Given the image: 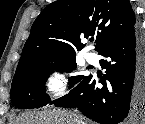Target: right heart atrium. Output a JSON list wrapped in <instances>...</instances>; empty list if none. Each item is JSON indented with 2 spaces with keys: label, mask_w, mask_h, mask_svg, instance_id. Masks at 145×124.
I'll use <instances>...</instances> for the list:
<instances>
[{
  "label": "right heart atrium",
  "mask_w": 145,
  "mask_h": 124,
  "mask_svg": "<svg viewBox=\"0 0 145 124\" xmlns=\"http://www.w3.org/2000/svg\"><path fill=\"white\" fill-rule=\"evenodd\" d=\"M66 85V74L58 68H53L47 76L45 84L46 92L53 97L62 95Z\"/></svg>",
  "instance_id": "1"
}]
</instances>
